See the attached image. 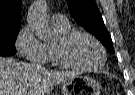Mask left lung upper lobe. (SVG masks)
I'll list each match as a JSON object with an SVG mask.
<instances>
[{"label": "left lung upper lobe", "instance_id": "obj_1", "mask_svg": "<svg viewBox=\"0 0 135 95\" xmlns=\"http://www.w3.org/2000/svg\"><path fill=\"white\" fill-rule=\"evenodd\" d=\"M73 18L92 33L110 51L114 52L108 33L95 0H67Z\"/></svg>", "mask_w": 135, "mask_h": 95}]
</instances>
